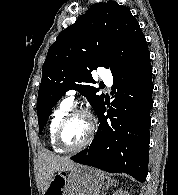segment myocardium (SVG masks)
Wrapping results in <instances>:
<instances>
[{
    "mask_svg": "<svg viewBox=\"0 0 178 195\" xmlns=\"http://www.w3.org/2000/svg\"><path fill=\"white\" fill-rule=\"evenodd\" d=\"M75 117H85L88 120V124H89V133L87 138L85 139V141L83 143H81L80 145L76 146V147H68L66 146L63 141H62V134H63V130L66 126V124L72 120ZM96 133V125H95V121L93 116L91 115V113L88 110L85 109H74L69 111L63 118L62 120L59 122L56 131H55V142L56 144L63 150V151H67V152H78L83 150L84 148H86L94 139Z\"/></svg>",
    "mask_w": 178,
    "mask_h": 195,
    "instance_id": "1",
    "label": "myocardium"
}]
</instances>
